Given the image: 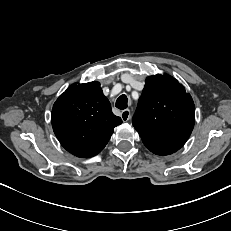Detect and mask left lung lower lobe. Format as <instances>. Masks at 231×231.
Segmentation results:
<instances>
[{
	"label": "left lung lower lobe",
	"mask_w": 231,
	"mask_h": 231,
	"mask_svg": "<svg viewBox=\"0 0 231 231\" xmlns=\"http://www.w3.org/2000/svg\"><path fill=\"white\" fill-rule=\"evenodd\" d=\"M151 152H153L154 154L156 155H169L171 153L165 151V150H162V149H159L157 147H153V146H149V145H145Z\"/></svg>",
	"instance_id": "0a47b994"
}]
</instances>
